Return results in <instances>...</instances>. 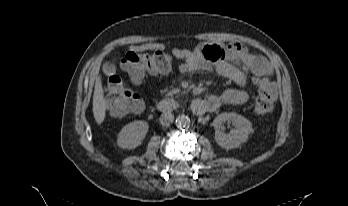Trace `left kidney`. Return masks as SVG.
<instances>
[{"instance_id":"5707ae66","label":"left kidney","mask_w":348,"mask_h":206,"mask_svg":"<svg viewBox=\"0 0 348 206\" xmlns=\"http://www.w3.org/2000/svg\"><path fill=\"white\" fill-rule=\"evenodd\" d=\"M232 122L235 126L229 134L223 132V124ZM215 128V141L224 149L237 148L248 140V135L252 132L251 122L236 113H221L213 121Z\"/></svg>"}]
</instances>
